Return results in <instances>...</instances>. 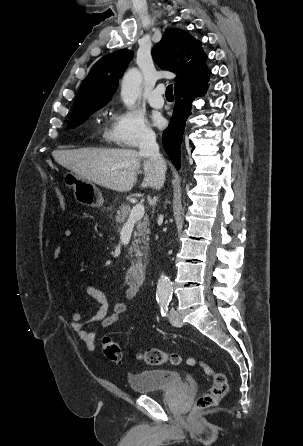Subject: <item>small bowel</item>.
Instances as JSON below:
<instances>
[{
	"label": "small bowel",
	"mask_w": 303,
	"mask_h": 446,
	"mask_svg": "<svg viewBox=\"0 0 303 446\" xmlns=\"http://www.w3.org/2000/svg\"><path fill=\"white\" fill-rule=\"evenodd\" d=\"M66 239H72L75 236L73 229H65L63 233ZM62 246L54 247L53 256L56 260L61 257ZM85 294L95 301L96 310L86 319H83L79 312H71V326L80 340L89 350H93L96 346V337L93 332L88 329V325L99 323L102 327H107L115 323L119 317L127 310V302L134 300L139 291V286L129 284L123 298L113 305L112 312L109 313V303L106 294L99 288L92 285L83 286Z\"/></svg>",
	"instance_id": "small-bowel-1"
}]
</instances>
